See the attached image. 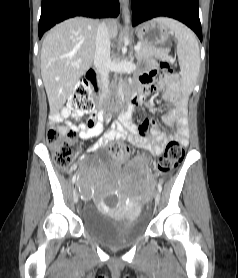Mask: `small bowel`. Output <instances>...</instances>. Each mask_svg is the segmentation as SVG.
Returning a JSON list of instances; mask_svg holds the SVG:
<instances>
[{
	"label": "small bowel",
	"mask_w": 238,
	"mask_h": 278,
	"mask_svg": "<svg viewBox=\"0 0 238 278\" xmlns=\"http://www.w3.org/2000/svg\"><path fill=\"white\" fill-rule=\"evenodd\" d=\"M157 74V63L152 61L149 68L143 72L138 78V88L136 91L138 106L142 105L145 98L165 88L163 99L171 103L174 108L169 111L163 120L166 124L176 127L175 135H167L157 125L155 121L146 117L140 125L132 122V113L125 112L120 119L114 123L111 129L107 130L101 138L94 143L89 152H95L105 148L111 141H128L133 146L144 149L154 156H160L164 147L172 140L179 142L182 146L188 144L189 131L187 127V94L183 91L175 77L155 81ZM81 112H72L67 108L55 112L51 116V125L59 130L72 128L79 132L81 139L87 140L98 136L104 126V115L102 113L93 112L89 118L80 124H74L66 121L69 117L79 118ZM65 121V125H60ZM127 160V155L120 158ZM144 171L143 160L137 161ZM147 177L149 175L147 174Z\"/></svg>",
	"instance_id": "c3829d8e"
}]
</instances>
